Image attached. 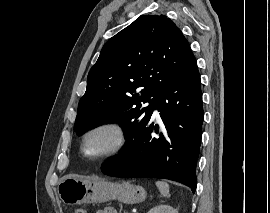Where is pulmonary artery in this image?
<instances>
[{"label":"pulmonary artery","mask_w":270,"mask_h":213,"mask_svg":"<svg viewBox=\"0 0 270 213\" xmlns=\"http://www.w3.org/2000/svg\"><path fill=\"white\" fill-rule=\"evenodd\" d=\"M154 114H155V116H158V111H157V110H155Z\"/></svg>","instance_id":"1"}]
</instances>
